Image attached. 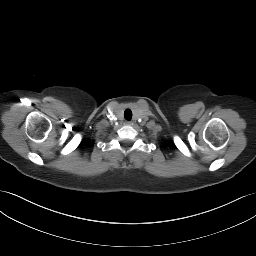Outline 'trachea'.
<instances>
[{"label": "trachea", "mask_w": 256, "mask_h": 256, "mask_svg": "<svg viewBox=\"0 0 256 256\" xmlns=\"http://www.w3.org/2000/svg\"><path fill=\"white\" fill-rule=\"evenodd\" d=\"M124 117L126 120H131L132 118V111L130 109H126L124 112Z\"/></svg>", "instance_id": "3493384b"}]
</instances>
